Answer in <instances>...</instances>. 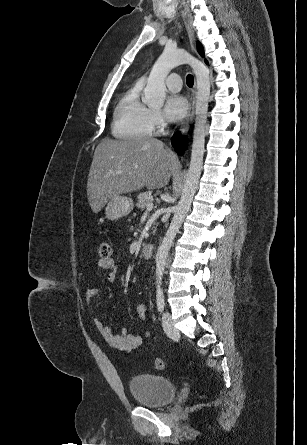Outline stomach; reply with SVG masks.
Here are the masks:
<instances>
[{"label":"stomach","mask_w":307,"mask_h":445,"mask_svg":"<svg viewBox=\"0 0 307 445\" xmlns=\"http://www.w3.org/2000/svg\"><path fill=\"white\" fill-rule=\"evenodd\" d=\"M133 206V198L117 194V196H113V198L108 200L105 208V216L109 218V220H118V218H122V216H127V214L133 210Z\"/></svg>","instance_id":"1"}]
</instances>
